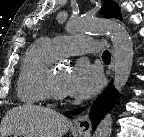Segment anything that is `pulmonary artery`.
<instances>
[{
  "label": "pulmonary artery",
  "instance_id": "e3ab8cb5",
  "mask_svg": "<svg viewBox=\"0 0 144 137\" xmlns=\"http://www.w3.org/2000/svg\"><path fill=\"white\" fill-rule=\"evenodd\" d=\"M52 43L59 56H73L84 53H96L102 46V42L80 36H58Z\"/></svg>",
  "mask_w": 144,
  "mask_h": 137
}]
</instances>
